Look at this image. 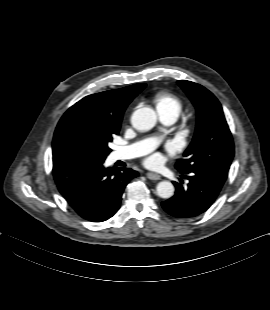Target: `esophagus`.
<instances>
[{
	"label": "esophagus",
	"instance_id": "1",
	"mask_svg": "<svg viewBox=\"0 0 270 310\" xmlns=\"http://www.w3.org/2000/svg\"><path fill=\"white\" fill-rule=\"evenodd\" d=\"M146 177L150 180H160L161 176L156 174V173H152V172H148L146 173Z\"/></svg>",
	"mask_w": 270,
	"mask_h": 310
}]
</instances>
